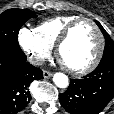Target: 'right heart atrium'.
<instances>
[{
  "mask_svg": "<svg viewBox=\"0 0 114 114\" xmlns=\"http://www.w3.org/2000/svg\"><path fill=\"white\" fill-rule=\"evenodd\" d=\"M18 42L30 62L35 65L41 64L52 51V47L45 43L34 29L21 28L18 33Z\"/></svg>",
  "mask_w": 114,
  "mask_h": 114,
  "instance_id": "obj_1",
  "label": "right heart atrium"
}]
</instances>
